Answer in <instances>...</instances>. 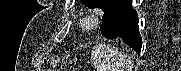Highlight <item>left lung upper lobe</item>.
Wrapping results in <instances>:
<instances>
[{
	"mask_svg": "<svg viewBox=\"0 0 181 71\" xmlns=\"http://www.w3.org/2000/svg\"><path fill=\"white\" fill-rule=\"evenodd\" d=\"M117 2V0H82V3L89 8H100L105 12Z\"/></svg>",
	"mask_w": 181,
	"mask_h": 71,
	"instance_id": "left-lung-upper-lobe-1",
	"label": "left lung upper lobe"
}]
</instances>
